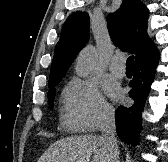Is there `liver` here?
<instances>
[{
    "mask_svg": "<svg viewBox=\"0 0 168 162\" xmlns=\"http://www.w3.org/2000/svg\"><path fill=\"white\" fill-rule=\"evenodd\" d=\"M111 162L101 137L81 135L53 143L37 162Z\"/></svg>",
    "mask_w": 168,
    "mask_h": 162,
    "instance_id": "6515ba94",
    "label": "liver"
}]
</instances>
